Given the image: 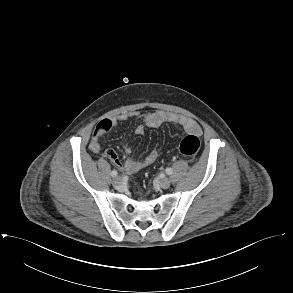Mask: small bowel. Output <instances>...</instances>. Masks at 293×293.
<instances>
[{
    "mask_svg": "<svg viewBox=\"0 0 293 293\" xmlns=\"http://www.w3.org/2000/svg\"><path fill=\"white\" fill-rule=\"evenodd\" d=\"M140 114L138 112L121 113L116 116H110L104 118L97 125L94 131L92 140L90 142L91 151L97 153L100 151L99 140L106 133H108L113 127H115L119 122L127 121L130 118H137ZM143 119V124L139 125L135 133L137 135H142L145 128H158L165 123H171L181 126L188 134L199 136L202 134V129L200 125L193 120L184 115L170 113L165 111H155L147 112L141 115ZM124 151L127 155L131 154V149L125 145ZM158 151L156 149L151 150L143 160H136L134 158H128L124 163L121 162L116 152L112 149H107L104 151V156L109 159L115 166L120 169L125 170L127 173H135L144 167H147L154 163L158 158Z\"/></svg>",
    "mask_w": 293,
    "mask_h": 293,
    "instance_id": "c3829d8e",
    "label": "small bowel"
}]
</instances>
